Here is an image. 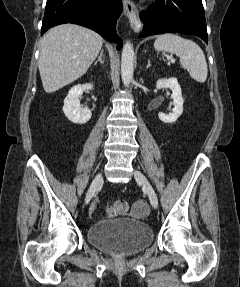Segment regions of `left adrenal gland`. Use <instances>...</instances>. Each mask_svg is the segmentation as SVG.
<instances>
[{"instance_id":"obj_1","label":"left adrenal gland","mask_w":240,"mask_h":287,"mask_svg":"<svg viewBox=\"0 0 240 287\" xmlns=\"http://www.w3.org/2000/svg\"><path fill=\"white\" fill-rule=\"evenodd\" d=\"M149 67H151V60L150 59H148V63H147L146 68L148 69Z\"/></svg>"}]
</instances>
